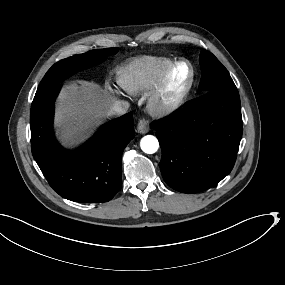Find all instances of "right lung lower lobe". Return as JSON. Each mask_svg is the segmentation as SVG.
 <instances>
[{"mask_svg": "<svg viewBox=\"0 0 285 285\" xmlns=\"http://www.w3.org/2000/svg\"><path fill=\"white\" fill-rule=\"evenodd\" d=\"M62 87L36 92L31 105L32 154L50 186L65 199L80 203L111 200L122 187L121 158L135 137L133 115L103 125L79 151L63 148L53 133L54 103Z\"/></svg>", "mask_w": 285, "mask_h": 285, "instance_id": "right-lung-lower-lobe-1", "label": "right lung lower lobe"}]
</instances>
